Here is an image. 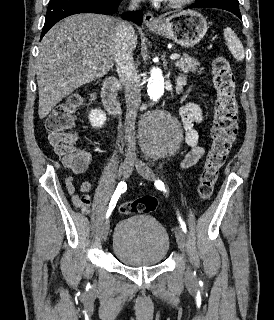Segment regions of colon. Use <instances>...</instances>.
Returning <instances> with one entry per match:
<instances>
[{"label":"colon","instance_id":"5ec220e1","mask_svg":"<svg viewBox=\"0 0 274 320\" xmlns=\"http://www.w3.org/2000/svg\"><path fill=\"white\" fill-rule=\"evenodd\" d=\"M212 82L217 94L216 111L210 134L211 147L197 187L201 202L210 199L217 173L224 164L238 133L239 106L235 96V76L231 65L222 57L213 63ZM79 100L77 97H71L66 104L53 108L46 121L50 144L55 153L63 159L64 164L74 172L82 171L87 165L84 153L73 152L78 142L72 128L76 119L74 111L80 105ZM66 185L70 196H78L75 194L71 177L66 180ZM80 199L83 198L80 196ZM156 208V199L146 196L120 204L118 212L123 215H133L152 213Z\"/></svg>","mask_w":274,"mask_h":320}]
</instances>
